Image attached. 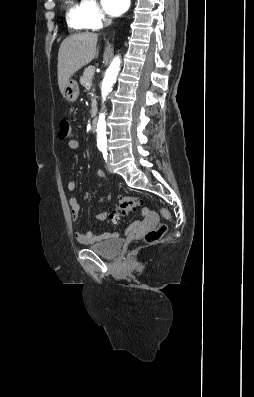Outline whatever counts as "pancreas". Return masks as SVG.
<instances>
[{
    "label": "pancreas",
    "instance_id": "obj_1",
    "mask_svg": "<svg viewBox=\"0 0 254 397\" xmlns=\"http://www.w3.org/2000/svg\"><path fill=\"white\" fill-rule=\"evenodd\" d=\"M95 68L94 66H88L87 68L84 69V72L82 76L80 77V84L85 87L87 90L90 89V86L87 84L92 81L93 75H94ZM95 105V103H94Z\"/></svg>",
    "mask_w": 254,
    "mask_h": 397
}]
</instances>
